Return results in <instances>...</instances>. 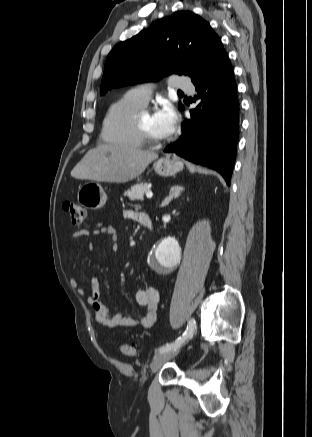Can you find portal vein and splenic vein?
I'll return each instance as SVG.
<instances>
[{
  "instance_id": "portal-vein-and-splenic-vein-1",
  "label": "portal vein and splenic vein",
  "mask_w": 312,
  "mask_h": 437,
  "mask_svg": "<svg viewBox=\"0 0 312 437\" xmlns=\"http://www.w3.org/2000/svg\"><path fill=\"white\" fill-rule=\"evenodd\" d=\"M146 197L149 198V199L152 198L153 197V193L152 192H147L146 193Z\"/></svg>"
}]
</instances>
